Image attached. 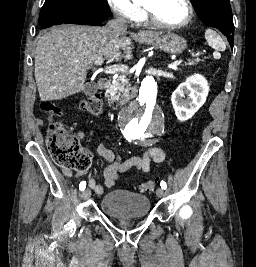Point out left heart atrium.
<instances>
[{
    "mask_svg": "<svg viewBox=\"0 0 256 267\" xmlns=\"http://www.w3.org/2000/svg\"><path fill=\"white\" fill-rule=\"evenodd\" d=\"M165 0H151L152 2V7L155 8L157 7L158 5H160L161 3H163ZM156 27H159L157 26L154 22H153V29L156 28Z\"/></svg>",
    "mask_w": 256,
    "mask_h": 267,
    "instance_id": "1",
    "label": "left heart atrium"
}]
</instances>
